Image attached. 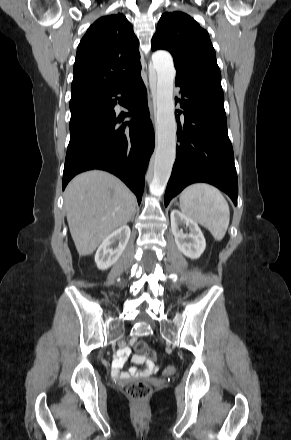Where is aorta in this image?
<instances>
[{
    "mask_svg": "<svg viewBox=\"0 0 291 440\" xmlns=\"http://www.w3.org/2000/svg\"><path fill=\"white\" fill-rule=\"evenodd\" d=\"M157 72L155 101L157 106V147L153 158V177L150 191L161 195L170 178L176 158L177 125L174 115L173 85L175 68L168 52L158 51L152 55Z\"/></svg>",
    "mask_w": 291,
    "mask_h": 440,
    "instance_id": "aorta-1",
    "label": "aorta"
}]
</instances>
